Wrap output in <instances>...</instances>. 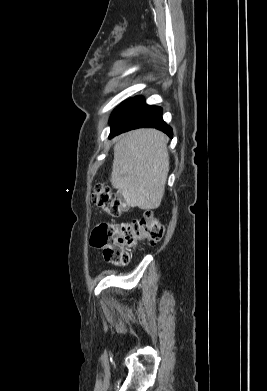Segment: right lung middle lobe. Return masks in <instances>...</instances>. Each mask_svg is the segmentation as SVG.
<instances>
[{
    "label": "right lung middle lobe",
    "instance_id": "right-lung-middle-lobe-1",
    "mask_svg": "<svg viewBox=\"0 0 267 391\" xmlns=\"http://www.w3.org/2000/svg\"><path fill=\"white\" fill-rule=\"evenodd\" d=\"M129 100L123 102L119 107H117L111 115V118L128 102Z\"/></svg>",
    "mask_w": 267,
    "mask_h": 391
}]
</instances>
